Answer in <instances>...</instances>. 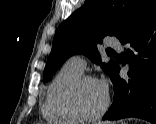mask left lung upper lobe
<instances>
[{
  "label": "left lung upper lobe",
  "instance_id": "obj_1",
  "mask_svg": "<svg viewBox=\"0 0 156 124\" xmlns=\"http://www.w3.org/2000/svg\"><path fill=\"white\" fill-rule=\"evenodd\" d=\"M150 0H86L56 30L43 79L48 81L71 55L82 53L111 75L116 62L102 63L97 44L107 35L121 38L138 22Z\"/></svg>",
  "mask_w": 156,
  "mask_h": 124
}]
</instances>
